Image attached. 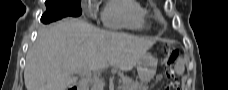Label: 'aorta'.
<instances>
[{"mask_svg":"<svg viewBox=\"0 0 228 90\" xmlns=\"http://www.w3.org/2000/svg\"><path fill=\"white\" fill-rule=\"evenodd\" d=\"M103 88H104L103 81L98 80L93 84L92 90H103Z\"/></svg>","mask_w":228,"mask_h":90,"instance_id":"1","label":"aorta"}]
</instances>
